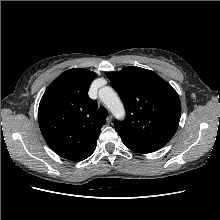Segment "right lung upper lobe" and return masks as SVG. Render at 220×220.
Wrapping results in <instances>:
<instances>
[{
    "instance_id": "1",
    "label": "right lung upper lobe",
    "mask_w": 220,
    "mask_h": 220,
    "mask_svg": "<svg viewBox=\"0 0 220 220\" xmlns=\"http://www.w3.org/2000/svg\"><path fill=\"white\" fill-rule=\"evenodd\" d=\"M95 73L74 68L60 74L44 92L38 121L48 146L59 156L82 161L96 149L105 119L97 115V102L88 96Z\"/></svg>"
}]
</instances>
